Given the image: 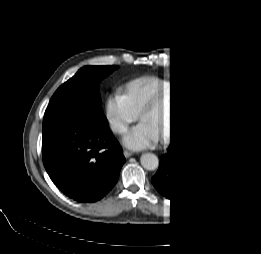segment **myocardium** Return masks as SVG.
<instances>
[{
	"mask_svg": "<svg viewBox=\"0 0 261 254\" xmlns=\"http://www.w3.org/2000/svg\"><path fill=\"white\" fill-rule=\"evenodd\" d=\"M184 93H185V98H186V108L184 113L182 114L180 120L178 121V123L176 124L175 128L172 129L171 132H169L167 135H162L159 137L160 140L164 141V140H169L174 138L177 134H179V132H181V130L183 129L188 115H189V111H190V106H191V99H190V94L188 92L187 89H184ZM163 94H160L159 96L153 98L142 110L140 113V119H143L144 116L149 113L150 111L154 110L156 107V104L158 103V100L161 98Z\"/></svg>",
	"mask_w": 261,
	"mask_h": 254,
	"instance_id": "myocardium-1",
	"label": "myocardium"
}]
</instances>
